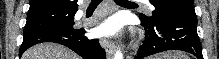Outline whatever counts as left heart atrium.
Segmentation results:
<instances>
[{
  "label": "left heart atrium",
  "instance_id": "39dd6f15",
  "mask_svg": "<svg viewBox=\"0 0 219 59\" xmlns=\"http://www.w3.org/2000/svg\"><path fill=\"white\" fill-rule=\"evenodd\" d=\"M117 27H118V21L114 19H110L101 23L96 31L99 35H110L116 31Z\"/></svg>",
  "mask_w": 219,
  "mask_h": 59
}]
</instances>
